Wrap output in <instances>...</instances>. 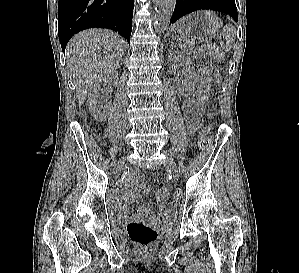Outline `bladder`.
Returning a JSON list of instances; mask_svg holds the SVG:
<instances>
[{"label": "bladder", "mask_w": 299, "mask_h": 273, "mask_svg": "<svg viewBox=\"0 0 299 273\" xmlns=\"http://www.w3.org/2000/svg\"><path fill=\"white\" fill-rule=\"evenodd\" d=\"M116 218H117V220H119V221L123 219L122 216H117Z\"/></svg>", "instance_id": "31cf9c89"}]
</instances>
